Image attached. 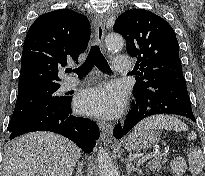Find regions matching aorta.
Returning <instances> with one entry per match:
<instances>
[{
  "instance_id": "aorta-1",
  "label": "aorta",
  "mask_w": 205,
  "mask_h": 176,
  "mask_svg": "<svg viewBox=\"0 0 205 176\" xmlns=\"http://www.w3.org/2000/svg\"><path fill=\"white\" fill-rule=\"evenodd\" d=\"M105 45L108 50L115 51L122 49L124 45V39L121 35L116 33H110L105 38ZM98 167L100 171V176H117L114 164L108 155V153L103 149L98 150Z\"/></svg>"
}]
</instances>
